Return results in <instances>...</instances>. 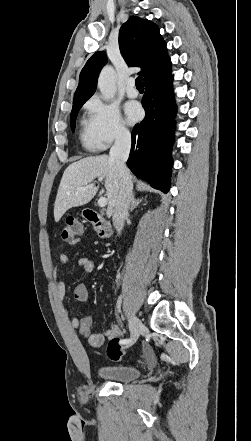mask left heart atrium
Listing matches in <instances>:
<instances>
[{"label": "left heart atrium", "mask_w": 251, "mask_h": 441, "mask_svg": "<svg viewBox=\"0 0 251 441\" xmlns=\"http://www.w3.org/2000/svg\"><path fill=\"white\" fill-rule=\"evenodd\" d=\"M125 114L130 123H135L142 117V108L137 102H128L125 105Z\"/></svg>", "instance_id": "1"}]
</instances>
